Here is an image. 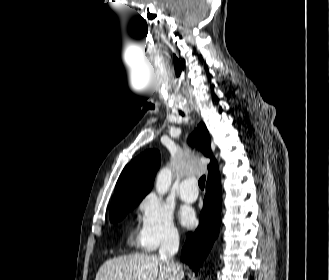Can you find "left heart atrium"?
I'll return each mask as SVG.
<instances>
[{
  "label": "left heart atrium",
  "mask_w": 329,
  "mask_h": 280,
  "mask_svg": "<svg viewBox=\"0 0 329 280\" xmlns=\"http://www.w3.org/2000/svg\"><path fill=\"white\" fill-rule=\"evenodd\" d=\"M179 219L186 227H192L196 223L195 213L192 208L183 206L179 211Z\"/></svg>",
  "instance_id": "39dd6f15"
}]
</instances>
